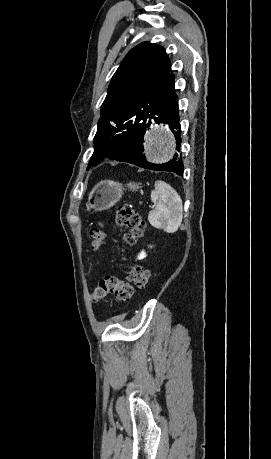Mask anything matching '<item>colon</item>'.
Wrapping results in <instances>:
<instances>
[{
  "mask_svg": "<svg viewBox=\"0 0 271 459\" xmlns=\"http://www.w3.org/2000/svg\"><path fill=\"white\" fill-rule=\"evenodd\" d=\"M116 224L127 229L123 235L125 245H133L141 237L145 227V222L140 213L130 207H122L117 211ZM90 236L92 239L91 247L98 250L105 238L103 225L100 223L93 227ZM127 279L138 289H145L148 284L149 273L142 266H132L127 272ZM130 283L120 280L115 275L104 276L94 287L91 298L93 302H99L107 295H113L121 302H128L133 295V287Z\"/></svg>",
  "mask_w": 271,
  "mask_h": 459,
  "instance_id": "obj_1",
  "label": "colon"
}]
</instances>
